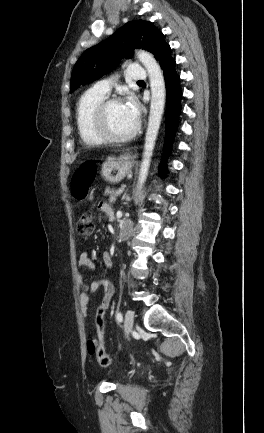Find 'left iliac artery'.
<instances>
[{
  "label": "left iliac artery",
  "instance_id": "1",
  "mask_svg": "<svg viewBox=\"0 0 264 433\" xmlns=\"http://www.w3.org/2000/svg\"><path fill=\"white\" fill-rule=\"evenodd\" d=\"M116 319H117L118 322H122V320H123L122 314L121 313H117Z\"/></svg>",
  "mask_w": 264,
  "mask_h": 433
}]
</instances>
